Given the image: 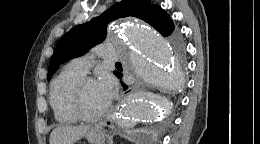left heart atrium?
I'll return each instance as SVG.
<instances>
[{
	"label": "left heart atrium",
	"instance_id": "obj_1",
	"mask_svg": "<svg viewBox=\"0 0 260 144\" xmlns=\"http://www.w3.org/2000/svg\"><path fill=\"white\" fill-rule=\"evenodd\" d=\"M98 85L104 100L108 104L116 92V83L114 79L110 76H104L98 81Z\"/></svg>",
	"mask_w": 260,
	"mask_h": 144
}]
</instances>
